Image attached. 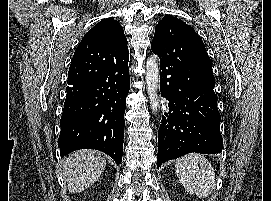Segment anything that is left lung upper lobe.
Listing matches in <instances>:
<instances>
[{"instance_id":"left-lung-upper-lobe-1","label":"left lung upper lobe","mask_w":271,"mask_h":201,"mask_svg":"<svg viewBox=\"0 0 271 201\" xmlns=\"http://www.w3.org/2000/svg\"><path fill=\"white\" fill-rule=\"evenodd\" d=\"M179 30L186 33L188 37L191 50L194 52L196 65L200 68L203 80L214 88L215 78L212 72V61L206 52L205 45L195 30L182 20L171 15L164 16L156 26L151 47H161L163 43L175 37Z\"/></svg>"}]
</instances>
